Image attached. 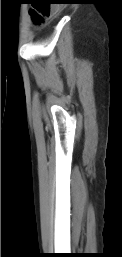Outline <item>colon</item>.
Listing matches in <instances>:
<instances>
[{"instance_id": "5ec220e1", "label": "colon", "mask_w": 122, "mask_h": 257, "mask_svg": "<svg viewBox=\"0 0 122 257\" xmlns=\"http://www.w3.org/2000/svg\"><path fill=\"white\" fill-rule=\"evenodd\" d=\"M52 9V5H35V9L31 12L34 22L38 25L43 24Z\"/></svg>"}]
</instances>
